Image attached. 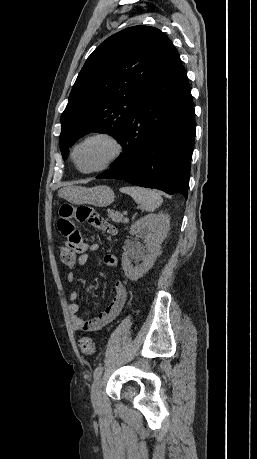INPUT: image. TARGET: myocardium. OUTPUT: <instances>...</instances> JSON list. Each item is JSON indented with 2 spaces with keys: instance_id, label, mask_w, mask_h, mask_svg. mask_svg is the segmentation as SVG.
I'll return each instance as SVG.
<instances>
[{
  "instance_id": "f54148a6",
  "label": "myocardium",
  "mask_w": 257,
  "mask_h": 459,
  "mask_svg": "<svg viewBox=\"0 0 257 459\" xmlns=\"http://www.w3.org/2000/svg\"><path fill=\"white\" fill-rule=\"evenodd\" d=\"M99 139L107 141L112 146L113 151H112L111 155L104 162H102L100 165L96 166L95 168H92V169H89V170L81 169L78 166L77 162H76L75 155H76L77 149L80 146H82L83 144H85V143H87L89 141L99 140ZM123 152H124V145L121 142V140L114 133L109 132V131H96V132H92V133L84 136L80 140H78L74 144V146L72 147L70 157H71V161H72L74 167L80 173L94 174V173L102 172V171L108 169L109 167H111L113 164H115L121 158Z\"/></svg>"
}]
</instances>
